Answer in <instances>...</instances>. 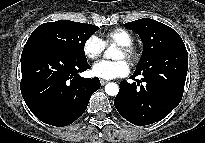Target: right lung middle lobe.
<instances>
[{
	"instance_id": "dd1d6c3e",
	"label": "right lung middle lobe",
	"mask_w": 205,
	"mask_h": 143,
	"mask_svg": "<svg viewBox=\"0 0 205 143\" xmlns=\"http://www.w3.org/2000/svg\"><path fill=\"white\" fill-rule=\"evenodd\" d=\"M98 29L99 27L91 24L58 20L38 26L29 39L45 41L79 61H87L84 54L85 42Z\"/></svg>"
}]
</instances>
